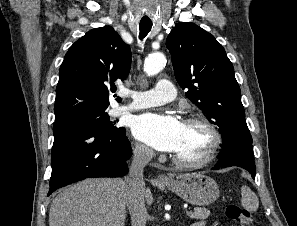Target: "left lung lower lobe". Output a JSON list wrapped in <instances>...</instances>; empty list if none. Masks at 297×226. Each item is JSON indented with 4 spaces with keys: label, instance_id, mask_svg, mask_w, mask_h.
<instances>
[{
    "label": "left lung lower lobe",
    "instance_id": "0a47b994",
    "mask_svg": "<svg viewBox=\"0 0 297 226\" xmlns=\"http://www.w3.org/2000/svg\"><path fill=\"white\" fill-rule=\"evenodd\" d=\"M220 160L212 169L217 170L230 166H238L246 169L255 179L256 168L254 162L253 146L245 148L226 147L222 148L219 154Z\"/></svg>",
    "mask_w": 297,
    "mask_h": 226
}]
</instances>
